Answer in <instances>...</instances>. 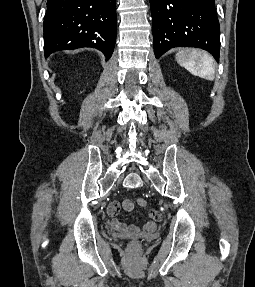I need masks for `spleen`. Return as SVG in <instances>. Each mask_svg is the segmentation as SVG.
<instances>
[{
    "label": "spleen",
    "instance_id": "1",
    "mask_svg": "<svg viewBox=\"0 0 255 287\" xmlns=\"http://www.w3.org/2000/svg\"><path fill=\"white\" fill-rule=\"evenodd\" d=\"M183 56L185 54L179 52V54H176V60L191 74L204 78V80H214V60L207 52L192 50V52H188L187 58H183Z\"/></svg>",
    "mask_w": 255,
    "mask_h": 287
}]
</instances>
